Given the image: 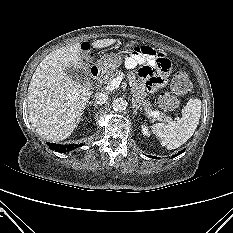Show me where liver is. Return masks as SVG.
<instances>
[{
	"mask_svg": "<svg viewBox=\"0 0 233 233\" xmlns=\"http://www.w3.org/2000/svg\"><path fill=\"white\" fill-rule=\"evenodd\" d=\"M115 39L92 43L95 49L109 47ZM81 44L52 51L38 65L28 87L29 120L36 132L52 141L68 138L80 122L92 92L73 81L66 69H82Z\"/></svg>",
	"mask_w": 233,
	"mask_h": 233,
	"instance_id": "6515ba94",
	"label": "liver"
}]
</instances>
